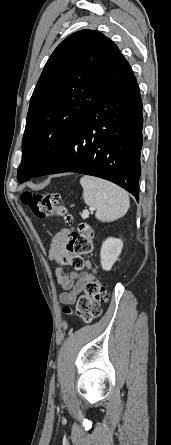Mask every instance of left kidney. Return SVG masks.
I'll return each instance as SVG.
<instances>
[{
    "label": "left kidney",
    "instance_id": "obj_1",
    "mask_svg": "<svg viewBox=\"0 0 171 445\" xmlns=\"http://www.w3.org/2000/svg\"><path fill=\"white\" fill-rule=\"evenodd\" d=\"M123 247L121 239L109 237L107 238L101 247L100 259L101 266L104 270H111L114 263L118 260Z\"/></svg>",
    "mask_w": 171,
    "mask_h": 445
}]
</instances>
